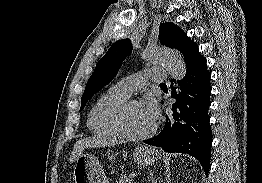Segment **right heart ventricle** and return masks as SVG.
Wrapping results in <instances>:
<instances>
[{
  "label": "right heart ventricle",
  "instance_id": "e07e8e85",
  "mask_svg": "<svg viewBox=\"0 0 262 183\" xmlns=\"http://www.w3.org/2000/svg\"><path fill=\"white\" fill-rule=\"evenodd\" d=\"M127 99L112 88L104 93L89 112L87 119L89 130L99 137L119 138L120 135L113 127L112 117L117 108Z\"/></svg>",
  "mask_w": 262,
  "mask_h": 183
}]
</instances>
